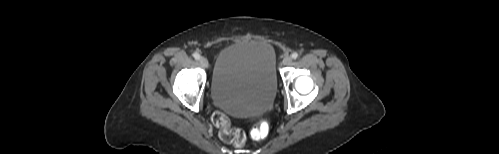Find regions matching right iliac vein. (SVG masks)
I'll return each mask as SVG.
<instances>
[{
    "label": "right iliac vein",
    "instance_id": "right-iliac-vein-1",
    "mask_svg": "<svg viewBox=\"0 0 499 154\" xmlns=\"http://www.w3.org/2000/svg\"><path fill=\"white\" fill-rule=\"evenodd\" d=\"M200 64H201L203 67L207 68V67H208V65H209L207 58H205V57H201V58H200Z\"/></svg>",
    "mask_w": 499,
    "mask_h": 154
}]
</instances>
